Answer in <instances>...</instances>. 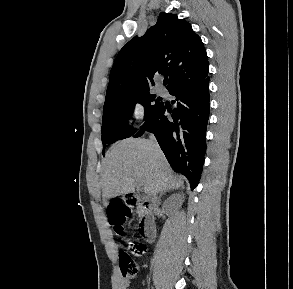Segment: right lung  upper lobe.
<instances>
[{
	"label": "right lung upper lobe",
	"instance_id": "1",
	"mask_svg": "<svg viewBox=\"0 0 293 289\" xmlns=\"http://www.w3.org/2000/svg\"><path fill=\"white\" fill-rule=\"evenodd\" d=\"M159 74L169 77V91L208 75L201 38L176 14L160 13L157 23L144 36L134 37L121 49L110 71L105 103L149 92L153 77Z\"/></svg>",
	"mask_w": 293,
	"mask_h": 289
}]
</instances>
